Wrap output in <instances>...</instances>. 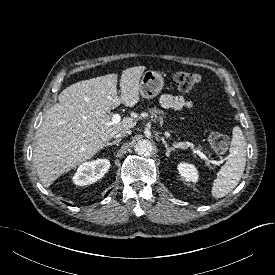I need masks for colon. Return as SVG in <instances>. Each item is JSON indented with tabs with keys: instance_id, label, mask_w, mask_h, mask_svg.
<instances>
[{
	"instance_id": "1",
	"label": "colon",
	"mask_w": 275,
	"mask_h": 275,
	"mask_svg": "<svg viewBox=\"0 0 275 275\" xmlns=\"http://www.w3.org/2000/svg\"><path fill=\"white\" fill-rule=\"evenodd\" d=\"M175 86L182 92L195 90L200 84V76L191 72H177L173 77ZM209 144L217 153H224L228 148V138L220 132H213L209 136Z\"/></svg>"
}]
</instances>
